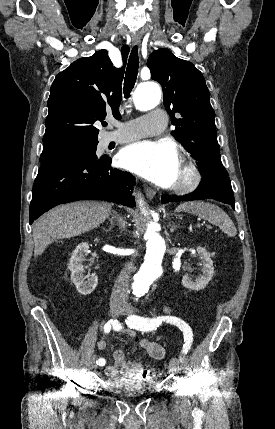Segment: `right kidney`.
Instances as JSON below:
<instances>
[{
	"mask_svg": "<svg viewBox=\"0 0 275 429\" xmlns=\"http://www.w3.org/2000/svg\"><path fill=\"white\" fill-rule=\"evenodd\" d=\"M98 242V239H95ZM89 252V244L83 242L79 244L72 253L70 261L68 263V269L71 271V281L75 284L77 291L81 295H89L98 284V277L96 274L84 276L85 256Z\"/></svg>",
	"mask_w": 275,
	"mask_h": 429,
	"instance_id": "1",
	"label": "right kidney"
}]
</instances>
